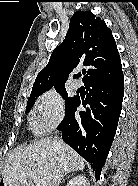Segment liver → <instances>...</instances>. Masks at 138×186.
<instances>
[{
    "mask_svg": "<svg viewBox=\"0 0 138 186\" xmlns=\"http://www.w3.org/2000/svg\"><path fill=\"white\" fill-rule=\"evenodd\" d=\"M84 159L64 142L56 146L50 139L35 141L13 151L3 171L4 186H34L27 179L35 173L46 186H58L59 181L72 171L83 170ZM24 179L21 181V179Z\"/></svg>",
    "mask_w": 138,
    "mask_h": 186,
    "instance_id": "liver-1",
    "label": "liver"
}]
</instances>
